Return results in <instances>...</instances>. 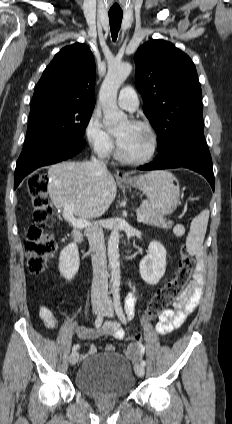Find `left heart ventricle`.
<instances>
[{"instance_id":"obj_1","label":"left heart ventricle","mask_w":232,"mask_h":424,"mask_svg":"<svg viewBox=\"0 0 232 424\" xmlns=\"http://www.w3.org/2000/svg\"><path fill=\"white\" fill-rule=\"evenodd\" d=\"M116 135L121 138L120 145L127 156L142 157L150 151L151 138L148 132L129 121L117 128Z\"/></svg>"}]
</instances>
